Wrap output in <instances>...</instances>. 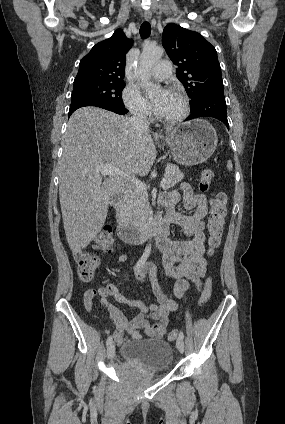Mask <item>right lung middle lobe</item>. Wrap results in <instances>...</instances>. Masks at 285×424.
Returning <instances> with one entry per match:
<instances>
[{"instance_id":"1","label":"right lung middle lobe","mask_w":285,"mask_h":424,"mask_svg":"<svg viewBox=\"0 0 285 424\" xmlns=\"http://www.w3.org/2000/svg\"><path fill=\"white\" fill-rule=\"evenodd\" d=\"M124 87V81L74 84L71 100L94 99L124 107L121 96Z\"/></svg>"}]
</instances>
